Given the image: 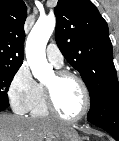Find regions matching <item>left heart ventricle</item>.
I'll list each match as a JSON object with an SVG mask.
<instances>
[{"label":"left heart ventricle","mask_w":119,"mask_h":141,"mask_svg":"<svg viewBox=\"0 0 119 141\" xmlns=\"http://www.w3.org/2000/svg\"><path fill=\"white\" fill-rule=\"evenodd\" d=\"M52 92L56 107L67 117L78 115L84 104V96L78 82L70 77L57 79L54 73L45 82Z\"/></svg>","instance_id":"b2bd125f"}]
</instances>
